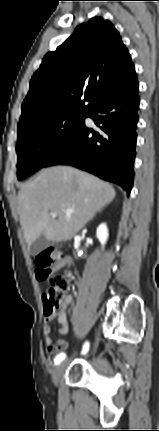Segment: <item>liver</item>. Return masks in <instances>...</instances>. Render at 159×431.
Masks as SVG:
<instances>
[{
	"label": "liver",
	"instance_id": "obj_1",
	"mask_svg": "<svg viewBox=\"0 0 159 431\" xmlns=\"http://www.w3.org/2000/svg\"><path fill=\"white\" fill-rule=\"evenodd\" d=\"M115 196L110 184L78 169L55 166L41 171L22 185L17 198L28 246L41 235L56 243L71 240ZM67 209L75 212L67 215ZM51 212L57 213L56 219Z\"/></svg>",
	"mask_w": 159,
	"mask_h": 431
}]
</instances>
